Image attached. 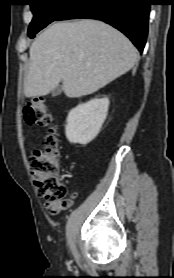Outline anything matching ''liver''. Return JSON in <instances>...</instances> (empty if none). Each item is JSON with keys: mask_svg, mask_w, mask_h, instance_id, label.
I'll return each mask as SVG.
<instances>
[{"mask_svg": "<svg viewBox=\"0 0 174 278\" xmlns=\"http://www.w3.org/2000/svg\"><path fill=\"white\" fill-rule=\"evenodd\" d=\"M26 97L44 96L62 80L69 98L92 94L128 72L137 50L112 26L98 20L58 22L46 29L30 47Z\"/></svg>", "mask_w": 174, "mask_h": 278, "instance_id": "1", "label": "liver"}]
</instances>
